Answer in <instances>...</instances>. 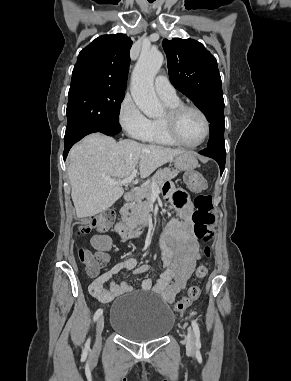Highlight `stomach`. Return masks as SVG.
<instances>
[{"mask_svg": "<svg viewBox=\"0 0 291 381\" xmlns=\"http://www.w3.org/2000/svg\"><path fill=\"white\" fill-rule=\"evenodd\" d=\"M197 165L198 161L196 157L190 152L177 155L174 159V166L180 171H193Z\"/></svg>", "mask_w": 291, "mask_h": 381, "instance_id": "1", "label": "stomach"}]
</instances>
